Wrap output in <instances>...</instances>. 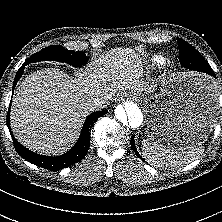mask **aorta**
<instances>
[{"instance_id":"762f6f07","label":"aorta","mask_w":222,"mask_h":222,"mask_svg":"<svg viewBox=\"0 0 222 222\" xmlns=\"http://www.w3.org/2000/svg\"><path fill=\"white\" fill-rule=\"evenodd\" d=\"M115 117L119 124L124 128L135 129L143 122L141 108L132 101L124 102L115 108Z\"/></svg>"}]
</instances>
